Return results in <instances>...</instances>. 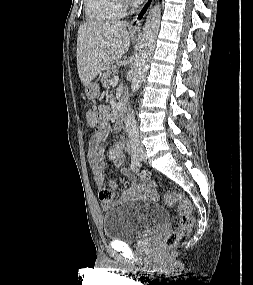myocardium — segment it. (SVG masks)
<instances>
[{
  "mask_svg": "<svg viewBox=\"0 0 253 285\" xmlns=\"http://www.w3.org/2000/svg\"><path fill=\"white\" fill-rule=\"evenodd\" d=\"M119 1L121 2V4H122L123 7H124L125 4L127 3V0H119Z\"/></svg>",
  "mask_w": 253,
  "mask_h": 285,
  "instance_id": "myocardium-1",
  "label": "myocardium"
}]
</instances>
